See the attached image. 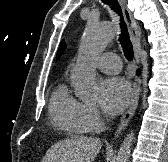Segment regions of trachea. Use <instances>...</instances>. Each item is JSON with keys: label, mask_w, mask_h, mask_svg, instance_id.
<instances>
[{"label": "trachea", "mask_w": 168, "mask_h": 162, "mask_svg": "<svg viewBox=\"0 0 168 162\" xmlns=\"http://www.w3.org/2000/svg\"><path fill=\"white\" fill-rule=\"evenodd\" d=\"M104 4L108 5L115 13L120 16V29L121 33L119 36V41L122 45L124 55L128 61H131L134 56L133 46L129 38L128 29L126 23L123 20V14L121 6L118 0H101Z\"/></svg>", "instance_id": "3493384b"}]
</instances>
